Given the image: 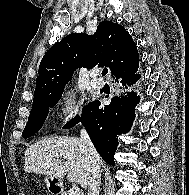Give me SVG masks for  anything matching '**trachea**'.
Wrapping results in <instances>:
<instances>
[{"instance_id": "1", "label": "trachea", "mask_w": 189, "mask_h": 195, "mask_svg": "<svg viewBox=\"0 0 189 195\" xmlns=\"http://www.w3.org/2000/svg\"><path fill=\"white\" fill-rule=\"evenodd\" d=\"M107 73H108V69H103V71H102V76H105V75H107Z\"/></svg>"}]
</instances>
